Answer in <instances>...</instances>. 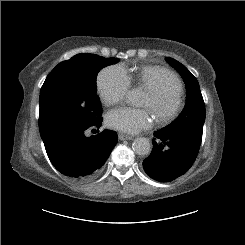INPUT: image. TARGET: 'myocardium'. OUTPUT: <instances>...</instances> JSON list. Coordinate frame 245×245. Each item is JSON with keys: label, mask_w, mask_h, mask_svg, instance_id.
<instances>
[{"label": "myocardium", "mask_w": 245, "mask_h": 245, "mask_svg": "<svg viewBox=\"0 0 245 245\" xmlns=\"http://www.w3.org/2000/svg\"><path fill=\"white\" fill-rule=\"evenodd\" d=\"M165 79L157 86L147 89L154 101L153 114L159 123L172 120L178 114L182 105L181 92L176 84V75L171 71H166ZM167 95L171 97V103L167 108H161L159 104Z\"/></svg>", "instance_id": "f54148a6"}]
</instances>
